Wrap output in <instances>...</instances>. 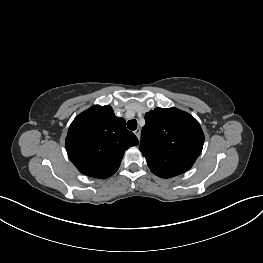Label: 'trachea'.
Returning a JSON list of instances; mask_svg holds the SVG:
<instances>
[{
	"instance_id": "trachea-1",
	"label": "trachea",
	"mask_w": 263,
	"mask_h": 263,
	"mask_svg": "<svg viewBox=\"0 0 263 263\" xmlns=\"http://www.w3.org/2000/svg\"><path fill=\"white\" fill-rule=\"evenodd\" d=\"M127 127L129 130H135L137 128V121L135 119L129 120L127 122Z\"/></svg>"
}]
</instances>
